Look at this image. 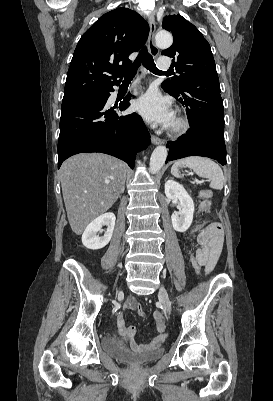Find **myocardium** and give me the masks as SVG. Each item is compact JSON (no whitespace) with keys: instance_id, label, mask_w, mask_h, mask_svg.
<instances>
[{"instance_id":"myocardium-1","label":"myocardium","mask_w":273,"mask_h":401,"mask_svg":"<svg viewBox=\"0 0 273 401\" xmlns=\"http://www.w3.org/2000/svg\"><path fill=\"white\" fill-rule=\"evenodd\" d=\"M190 129V120L183 115H179L171 124L169 128V133L174 137H181L186 135L190 131Z\"/></svg>"}]
</instances>
